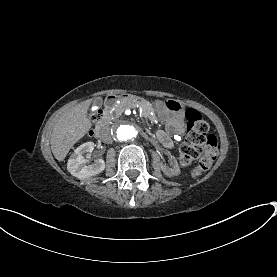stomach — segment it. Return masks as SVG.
<instances>
[{
  "mask_svg": "<svg viewBox=\"0 0 277 277\" xmlns=\"http://www.w3.org/2000/svg\"><path fill=\"white\" fill-rule=\"evenodd\" d=\"M155 111L160 119L165 122L169 130L180 132L185 127L184 113L185 107L181 101L176 99H166L155 101Z\"/></svg>",
  "mask_w": 277,
  "mask_h": 277,
  "instance_id": "0dacf381",
  "label": "stomach"
}]
</instances>
